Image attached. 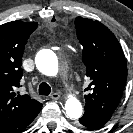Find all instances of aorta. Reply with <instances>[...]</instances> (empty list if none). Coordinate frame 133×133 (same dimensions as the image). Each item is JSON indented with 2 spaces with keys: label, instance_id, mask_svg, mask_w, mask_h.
Listing matches in <instances>:
<instances>
[{
  "label": "aorta",
  "instance_id": "1",
  "mask_svg": "<svg viewBox=\"0 0 133 133\" xmlns=\"http://www.w3.org/2000/svg\"><path fill=\"white\" fill-rule=\"evenodd\" d=\"M35 63L37 69L44 75L56 76L58 73V59L51 50H44L38 53ZM65 111L69 118L78 119L82 116L83 108L76 97L69 95L65 102Z\"/></svg>",
  "mask_w": 133,
  "mask_h": 133
}]
</instances>
